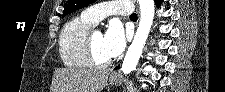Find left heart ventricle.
<instances>
[{
    "mask_svg": "<svg viewBox=\"0 0 225 92\" xmlns=\"http://www.w3.org/2000/svg\"><path fill=\"white\" fill-rule=\"evenodd\" d=\"M103 38H104V35L101 32L92 33V44H93L94 52L101 61H106V60H109V58L104 52Z\"/></svg>",
    "mask_w": 225,
    "mask_h": 92,
    "instance_id": "b2bd125f",
    "label": "left heart ventricle"
}]
</instances>
